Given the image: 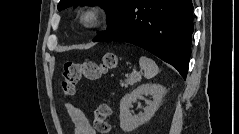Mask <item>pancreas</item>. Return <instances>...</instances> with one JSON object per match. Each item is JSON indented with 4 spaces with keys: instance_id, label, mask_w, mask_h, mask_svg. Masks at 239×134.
Instances as JSON below:
<instances>
[{
    "instance_id": "1",
    "label": "pancreas",
    "mask_w": 239,
    "mask_h": 134,
    "mask_svg": "<svg viewBox=\"0 0 239 134\" xmlns=\"http://www.w3.org/2000/svg\"><path fill=\"white\" fill-rule=\"evenodd\" d=\"M141 74H131L124 82H120L122 88H127L128 86H133L135 83L140 82Z\"/></svg>"
}]
</instances>
